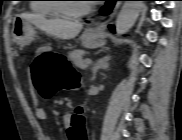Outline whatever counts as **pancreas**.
Segmentation results:
<instances>
[{
    "instance_id": "obj_1",
    "label": "pancreas",
    "mask_w": 182,
    "mask_h": 140,
    "mask_svg": "<svg viewBox=\"0 0 182 140\" xmlns=\"http://www.w3.org/2000/svg\"><path fill=\"white\" fill-rule=\"evenodd\" d=\"M83 50H74L71 51L68 55L69 59L79 68L85 69L87 67V64L85 63V60L83 59L84 55Z\"/></svg>"
}]
</instances>
